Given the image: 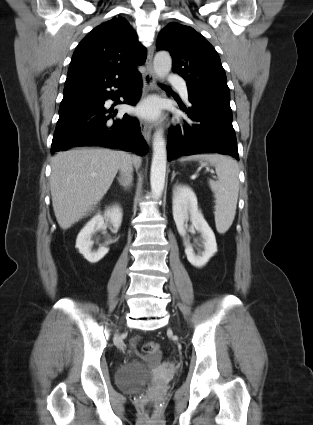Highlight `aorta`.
I'll use <instances>...</instances> for the list:
<instances>
[{
    "mask_svg": "<svg viewBox=\"0 0 313 425\" xmlns=\"http://www.w3.org/2000/svg\"><path fill=\"white\" fill-rule=\"evenodd\" d=\"M154 72L157 78L166 77L172 67V59L168 52L159 51L153 61ZM167 152L162 130H157L153 136V158L150 172L152 194L159 198L165 186Z\"/></svg>",
    "mask_w": 313,
    "mask_h": 425,
    "instance_id": "762f6f07",
    "label": "aorta"
}]
</instances>
